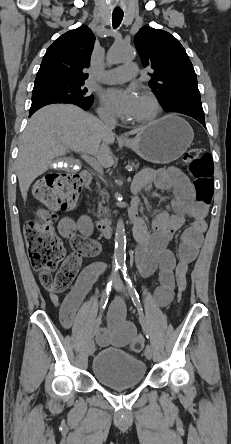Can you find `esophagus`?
<instances>
[{"label": "esophagus", "instance_id": "esophagus-1", "mask_svg": "<svg viewBox=\"0 0 231 444\" xmlns=\"http://www.w3.org/2000/svg\"><path fill=\"white\" fill-rule=\"evenodd\" d=\"M119 140L124 141L125 138H124L123 136H121V137L119 138Z\"/></svg>", "mask_w": 231, "mask_h": 444}]
</instances>
